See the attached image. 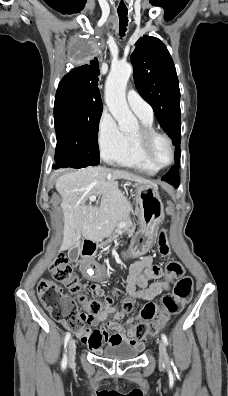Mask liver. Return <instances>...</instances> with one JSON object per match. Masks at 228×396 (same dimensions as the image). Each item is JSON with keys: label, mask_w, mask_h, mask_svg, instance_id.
Returning a JSON list of instances; mask_svg holds the SVG:
<instances>
[{"label": "liver", "mask_w": 228, "mask_h": 396, "mask_svg": "<svg viewBox=\"0 0 228 396\" xmlns=\"http://www.w3.org/2000/svg\"><path fill=\"white\" fill-rule=\"evenodd\" d=\"M118 179L154 184L129 172L102 166L77 169L56 180L64 216L62 248L72 247L81 237L100 241L110 232V220L121 219L130 210L129 201L118 188ZM91 195L101 198V211L86 204Z\"/></svg>", "instance_id": "liver-1"}]
</instances>
